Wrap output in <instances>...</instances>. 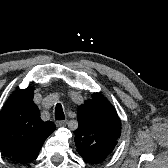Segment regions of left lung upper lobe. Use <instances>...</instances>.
<instances>
[{
	"label": "left lung upper lobe",
	"mask_w": 168,
	"mask_h": 168,
	"mask_svg": "<svg viewBox=\"0 0 168 168\" xmlns=\"http://www.w3.org/2000/svg\"><path fill=\"white\" fill-rule=\"evenodd\" d=\"M79 127L74 131L78 153L88 163H98L114 150L121 123L112 104L99 93L85 101L77 113Z\"/></svg>",
	"instance_id": "1"
}]
</instances>
